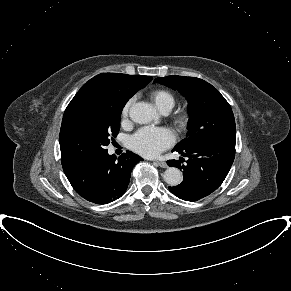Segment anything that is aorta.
Returning <instances> with one entry per match:
<instances>
[{"instance_id":"762f6f07","label":"aorta","mask_w":291,"mask_h":291,"mask_svg":"<svg viewBox=\"0 0 291 291\" xmlns=\"http://www.w3.org/2000/svg\"><path fill=\"white\" fill-rule=\"evenodd\" d=\"M129 116L135 123L147 124L156 118L157 112L151 104L146 102H138L131 106ZM164 180L168 185L176 186L182 182L183 176L178 168L169 167L164 172Z\"/></svg>"}]
</instances>
